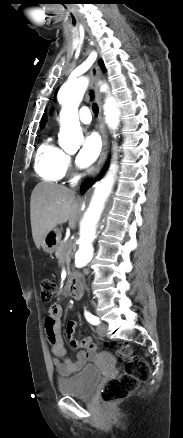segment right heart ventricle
<instances>
[{
	"label": "right heart ventricle",
	"instance_id": "1",
	"mask_svg": "<svg viewBox=\"0 0 183 438\" xmlns=\"http://www.w3.org/2000/svg\"><path fill=\"white\" fill-rule=\"evenodd\" d=\"M67 154L51 142L43 143L36 155L35 169L41 178L59 182L66 174Z\"/></svg>",
	"mask_w": 183,
	"mask_h": 438
}]
</instances>
